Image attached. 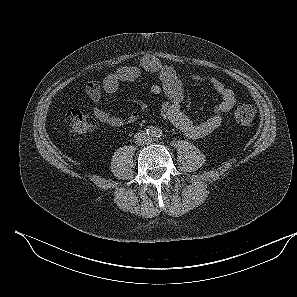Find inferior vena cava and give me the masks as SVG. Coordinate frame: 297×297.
<instances>
[{"label":"inferior vena cava","mask_w":297,"mask_h":297,"mask_svg":"<svg viewBox=\"0 0 297 297\" xmlns=\"http://www.w3.org/2000/svg\"><path fill=\"white\" fill-rule=\"evenodd\" d=\"M134 140L137 145H143L150 141V136L145 131H140L134 135Z\"/></svg>","instance_id":"1"}]
</instances>
